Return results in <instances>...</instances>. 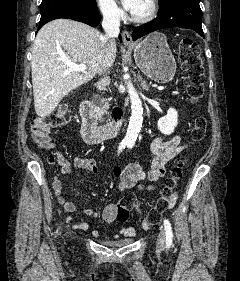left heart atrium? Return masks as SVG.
<instances>
[{
  "label": "left heart atrium",
  "instance_id": "39dd6f15",
  "mask_svg": "<svg viewBox=\"0 0 240 281\" xmlns=\"http://www.w3.org/2000/svg\"><path fill=\"white\" fill-rule=\"evenodd\" d=\"M126 10L134 13L140 6L142 0H121Z\"/></svg>",
  "mask_w": 240,
  "mask_h": 281
}]
</instances>
